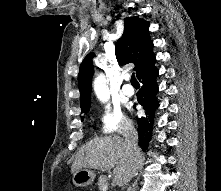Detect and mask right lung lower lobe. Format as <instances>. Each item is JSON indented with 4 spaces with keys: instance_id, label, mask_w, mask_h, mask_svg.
Instances as JSON below:
<instances>
[{
    "instance_id": "1",
    "label": "right lung lower lobe",
    "mask_w": 221,
    "mask_h": 191,
    "mask_svg": "<svg viewBox=\"0 0 221 191\" xmlns=\"http://www.w3.org/2000/svg\"><path fill=\"white\" fill-rule=\"evenodd\" d=\"M157 76L158 70L155 67V62L137 76L138 80L142 83V89L137 93V99L145 110V116L137 118L139 145L143 151H146L148 148L153 130L155 110L159 106L156 100V93L158 92Z\"/></svg>"
}]
</instances>
